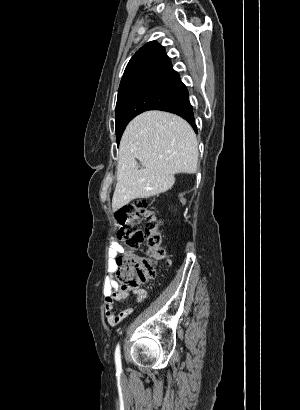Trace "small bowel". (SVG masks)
<instances>
[{
    "label": "small bowel",
    "mask_w": 300,
    "mask_h": 410,
    "mask_svg": "<svg viewBox=\"0 0 300 410\" xmlns=\"http://www.w3.org/2000/svg\"><path fill=\"white\" fill-rule=\"evenodd\" d=\"M121 253L128 252L120 243L116 241H111L109 252L110 259L108 262L109 270L113 271L116 268L117 263L115 261V257ZM104 294L105 316L108 323L112 326H116L120 322L125 320L133 312L134 309L133 307H128L118 311L115 308L116 302L126 299L131 295H134V303L138 304L145 300L147 297V291L144 288H136L132 291L117 289L115 282L112 280L111 277H107L105 279Z\"/></svg>",
    "instance_id": "small-bowel-1"
}]
</instances>
